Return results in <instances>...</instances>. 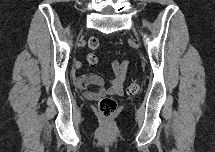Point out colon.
<instances>
[{"label": "colon", "mask_w": 215, "mask_h": 152, "mask_svg": "<svg viewBox=\"0 0 215 152\" xmlns=\"http://www.w3.org/2000/svg\"><path fill=\"white\" fill-rule=\"evenodd\" d=\"M99 44H100L99 40L96 37H91L88 40V47L90 49L98 48ZM86 60L90 66H96L98 63V58L93 53L88 54L86 57ZM139 90H140L139 83L137 81H133L128 85L126 92H127V94L133 95V94L138 93ZM98 109L104 117L109 118L112 115H114V113L116 112L117 102L112 97H103L98 102Z\"/></svg>", "instance_id": "obj_1"}]
</instances>
